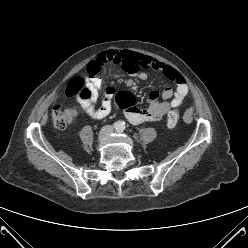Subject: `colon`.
<instances>
[{"label": "colon", "mask_w": 248, "mask_h": 248, "mask_svg": "<svg viewBox=\"0 0 248 248\" xmlns=\"http://www.w3.org/2000/svg\"><path fill=\"white\" fill-rule=\"evenodd\" d=\"M105 67L102 65L89 66L87 69L88 75L91 77H99ZM66 95L69 97H76L80 100H87L91 96V91L87 85V81L84 77H74L68 84L66 89ZM116 105L121 109H127L134 101L130 94L126 92H120L115 98ZM76 110L73 108L63 109L61 105H56L53 109L52 118L53 123L57 128H65L75 117ZM179 120L178 109L171 110L167 115V125L174 127Z\"/></svg>", "instance_id": "colon-1"}]
</instances>
